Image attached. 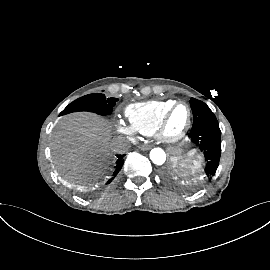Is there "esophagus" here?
Listing matches in <instances>:
<instances>
[{
	"mask_svg": "<svg viewBox=\"0 0 270 270\" xmlns=\"http://www.w3.org/2000/svg\"><path fill=\"white\" fill-rule=\"evenodd\" d=\"M151 147H152L151 145H141L140 149L143 150V151H146V150L151 149Z\"/></svg>",
	"mask_w": 270,
	"mask_h": 270,
	"instance_id": "esophagus-1",
	"label": "esophagus"
}]
</instances>
